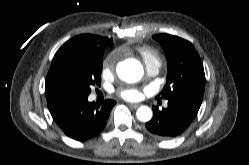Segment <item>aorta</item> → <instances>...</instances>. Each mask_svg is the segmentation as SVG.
I'll list each match as a JSON object with an SVG mask.
<instances>
[{
  "instance_id": "aorta-1",
  "label": "aorta",
  "mask_w": 249,
  "mask_h": 165,
  "mask_svg": "<svg viewBox=\"0 0 249 165\" xmlns=\"http://www.w3.org/2000/svg\"><path fill=\"white\" fill-rule=\"evenodd\" d=\"M117 74L120 79L134 83L143 76V67L135 59H128L118 64ZM137 118L142 122H147L152 118V110L147 106L140 107L136 112Z\"/></svg>"
}]
</instances>
